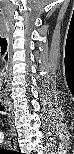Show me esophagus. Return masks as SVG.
<instances>
[{
    "instance_id": "34e87169",
    "label": "esophagus",
    "mask_w": 74,
    "mask_h": 154,
    "mask_svg": "<svg viewBox=\"0 0 74 154\" xmlns=\"http://www.w3.org/2000/svg\"><path fill=\"white\" fill-rule=\"evenodd\" d=\"M9 111V109H8ZM10 117V115H9ZM15 136H16V132L15 129L13 127H11L10 129V134H9V138H8V143L9 145L12 147L13 145H15Z\"/></svg>"
}]
</instances>
